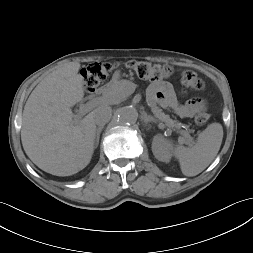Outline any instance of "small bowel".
I'll return each mask as SVG.
<instances>
[{"mask_svg":"<svg viewBox=\"0 0 253 253\" xmlns=\"http://www.w3.org/2000/svg\"><path fill=\"white\" fill-rule=\"evenodd\" d=\"M113 78L118 80L120 72H115ZM147 98L150 105L159 104L163 108L171 109L180 118H190L196 112L206 108V103L201 98H192L185 102H179L173 85L168 81L151 83L147 90Z\"/></svg>","mask_w":253,"mask_h":253,"instance_id":"obj_1","label":"small bowel"}]
</instances>
